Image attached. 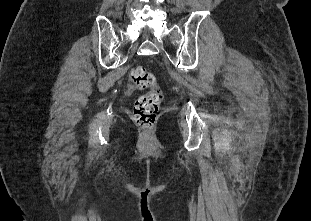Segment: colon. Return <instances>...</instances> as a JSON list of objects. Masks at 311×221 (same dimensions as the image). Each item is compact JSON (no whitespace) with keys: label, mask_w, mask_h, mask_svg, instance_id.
<instances>
[{"label":"colon","mask_w":311,"mask_h":221,"mask_svg":"<svg viewBox=\"0 0 311 221\" xmlns=\"http://www.w3.org/2000/svg\"><path fill=\"white\" fill-rule=\"evenodd\" d=\"M128 91L148 89V93L139 97L134 104L132 119L141 129H150L156 122V116L162 101V90L156 79L144 67H135L129 75Z\"/></svg>","instance_id":"colon-1"}]
</instances>
